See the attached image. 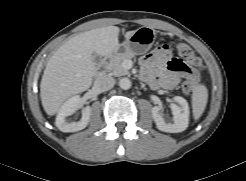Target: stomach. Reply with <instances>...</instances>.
Here are the masks:
<instances>
[{
	"label": "stomach",
	"instance_id": "1",
	"mask_svg": "<svg viewBox=\"0 0 246 181\" xmlns=\"http://www.w3.org/2000/svg\"><path fill=\"white\" fill-rule=\"evenodd\" d=\"M156 34L155 31L149 27H141L137 29L128 39L119 45L114 56L121 53H132L134 55H141L146 53L154 43Z\"/></svg>",
	"mask_w": 246,
	"mask_h": 181
}]
</instances>
